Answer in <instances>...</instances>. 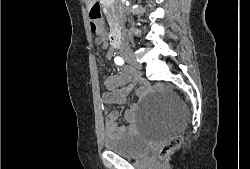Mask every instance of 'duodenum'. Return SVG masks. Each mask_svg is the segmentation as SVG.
<instances>
[{
	"label": "duodenum",
	"instance_id": "410a0bca",
	"mask_svg": "<svg viewBox=\"0 0 250 169\" xmlns=\"http://www.w3.org/2000/svg\"><path fill=\"white\" fill-rule=\"evenodd\" d=\"M109 42L114 48H120L123 45L121 33L113 28L108 35Z\"/></svg>",
	"mask_w": 250,
	"mask_h": 169
}]
</instances>
